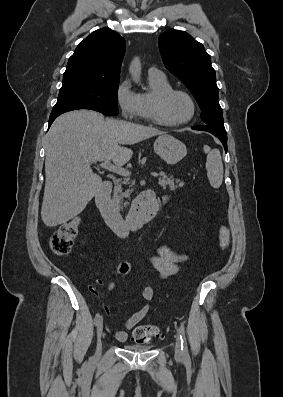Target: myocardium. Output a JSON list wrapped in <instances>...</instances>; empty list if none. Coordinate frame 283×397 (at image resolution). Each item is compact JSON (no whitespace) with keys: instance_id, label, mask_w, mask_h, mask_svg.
I'll list each match as a JSON object with an SVG mask.
<instances>
[{"instance_id":"1","label":"myocardium","mask_w":283,"mask_h":397,"mask_svg":"<svg viewBox=\"0 0 283 397\" xmlns=\"http://www.w3.org/2000/svg\"><path fill=\"white\" fill-rule=\"evenodd\" d=\"M174 94L184 95L189 100V102L191 104L190 115L186 119L181 120V121H176V122L168 121L164 116L165 104H166L167 100ZM196 109H197V107H196L195 100L187 91L182 90V89L171 88V89H168V90L162 92L160 95H158L156 97L154 104H153V119L157 124H159L161 126L178 127V126H182V125H185L188 122H190L196 114Z\"/></svg>"}]
</instances>
